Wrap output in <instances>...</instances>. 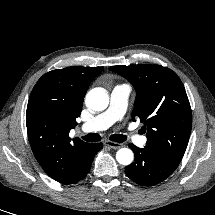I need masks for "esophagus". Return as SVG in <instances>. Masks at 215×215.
<instances>
[{"instance_id": "esophagus-1", "label": "esophagus", "mask_w": 215, "mask_h": 215, "mask_svg": "<svg viewBox=\"0 0 215 215\" xmlns=\"http://www.w3.org/2000/svg\"><path fill=\"white\" fill-rule=\"evenodd\" d=\"M104 144L113 149H119V148L123 147L122 143H117V142H113V141H105Z\"/></svg>"}]
</instances>
